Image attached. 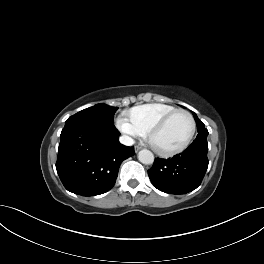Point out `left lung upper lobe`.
<instances>
[{
    "mask_svg": "<svg viewBox=\"0 0 264 264\" xmlns=\"http://www.w3.org/2000/svg\"><path fill=\"white\" fill-rule=\"evenodd\" d=\"M194 118L198 127V135L196 137V139H204L207 140V136H208V130L204 127L203 122L196 116V114L194 113Z\"/></svg>",
    "mask_w": 264,
    "mask_h": 264,
    "instance_id": "left-lung-upper-lobe-1",
    "label": "left lung upper lobe"
}]
</instances>
